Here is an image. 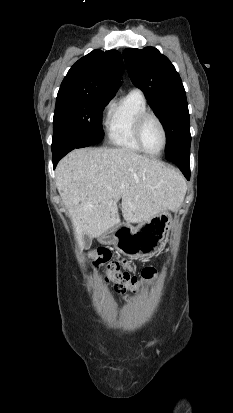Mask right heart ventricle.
Returning a JSON list of instances; mask_svg holds the SVG:
<instances>
[{"label":"right heart ventricle","instance_id":"1","mask_svg":"<svg viewBox=\"0 0 233 413\" xmlns=\"http://www.w3.org/2000/svg\"><path fill=\"white\" fill-rule=\"evenodd\" d=\"M147 109L145 96L136 89L113 103L105 123L109 143L123 150L142 152L134 137V124L139 114Z\"/></svg>","mask_w":233,"mask_h":413}]
</instances>
